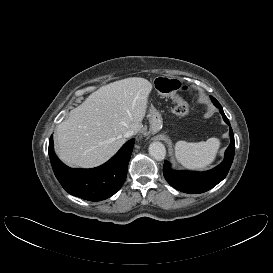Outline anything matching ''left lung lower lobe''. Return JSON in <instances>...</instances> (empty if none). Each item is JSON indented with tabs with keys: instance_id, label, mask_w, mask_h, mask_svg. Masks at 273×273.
Here are the masks:
<instances>
[{
	"instance_id": "1",
	"label": "left lung lower lobe",
	"mask_w": 273,
	"mask_h": 273,
	"mask_svg": "<svg viewBox=\"0 0 273 273\" xmlns=\"http://www.w3.org/2000/svg\"><path fill=\"white\" fill-rule=\"evenodd\" d=\"M219 108L224 121L230 127V145L225 152L223 162L212 170L206 172H193V171H175L170 168V165L165 161L163 166V174L166 181L175 189L190 194L203 193L218 183H220L227 175L235 152V141L233 131L231 129L228 118L225 116L222 107L219 103L215 104Z\"/></svg>"
}]
</instances>
